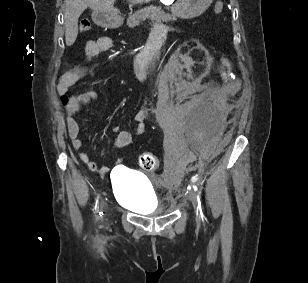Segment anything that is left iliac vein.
Masks as SVG:
<instances>
[{"label":"left iliac vein","mask_w":308,"mask_h":283,"mask_svg":"<svg viewBox=\"0 0 308 283\" xmlns=\"http://www.w3.org/2000/svg\"><path fill=\"white\" fill-rule=\"evenodd\" d=\"M188 199L192 202L194 209H195V214H196V218L197 220H200V214L198 211V205H197V199H196V195L193 191H188Z\"/></svg>","instance_id":"obj_1"}]
</instances>
